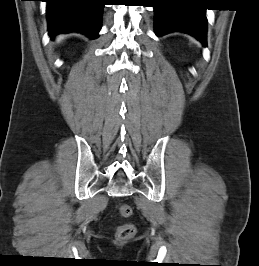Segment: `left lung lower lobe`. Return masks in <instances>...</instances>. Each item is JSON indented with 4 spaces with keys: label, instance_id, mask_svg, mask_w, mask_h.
<instances>
[{
    "label": "left lung lower lobe",
    "instance_id": "0a47b994",
    "mask_svg": "<svg viewBox=\"0 0 259 266\" xmlns=\"http://www.w3.org/2000/svg\"><path fill=\"white\" fill-rule=\"evenodd\" d=\"M154 3L157 36L181 31L206 46V9L192 7L188 0H154Z\"/></svg>",
    "mask_w": 259,
    "mask_h": 266
}]
</instances>
